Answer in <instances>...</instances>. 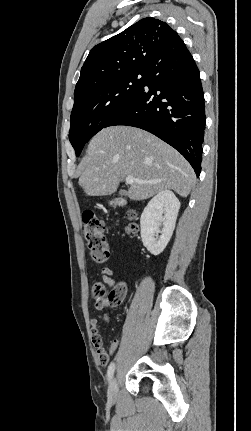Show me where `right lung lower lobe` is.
I'll list each match as a JSON object with an SVG mask.
<instances>
[{
	"label": "right lung lower lobe",
	"instance_id": "obj_1",
	"mask_svg": "<svg viewBox=\"0 0 251 431\" xmlns=\"http://www.w3.org/2000/svg\"><path fill=\"white\" fill-rule=\"evenodd\" d=\"M205 123L199 70L182 46L159 55L147 66L140 91L105 127L127 125L149 131L178 150L198 177Z\"/></svg>",
	"mask_w": 251,
	"mask_h": 431
}]
</instances>
